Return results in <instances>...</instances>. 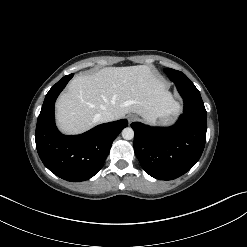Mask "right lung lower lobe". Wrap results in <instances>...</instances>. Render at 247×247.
I'll use <instances>...</instances> for the list:
<instances>
[{
    "mask_svg": "<svg viewBox=\"0 0 247 247\" xmlns=\"http://www.w3.org/2000/svg\"><path fill=\"white\" fill-rule=\"evenodd\" d=\"M73 74L64 76L47 93L38 116L35 140L43 164L58 177L71 181H85L103 166L112 142L128 125L126 119L101 124L88 132L65 136L54 120V104Z\"/></svg>",
    "mask_w": 247,
    "mask_h": 247,
    "instance_id": "right-lung-lower-lobe-1",
    "label": "right lung lower lobe"
}]
</instances>
